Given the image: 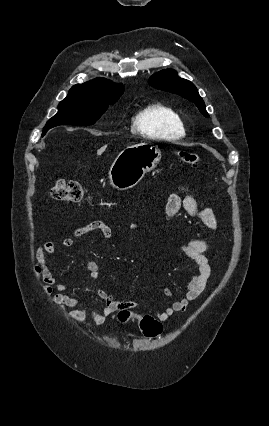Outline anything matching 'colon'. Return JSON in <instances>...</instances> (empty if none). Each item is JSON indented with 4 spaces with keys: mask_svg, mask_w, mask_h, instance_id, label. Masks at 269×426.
Segmentation results:
<instances>
[{
    "mask_svg": "<svg viewBox=\"0 0 269 426\" xmlns=\"http://www.w3.org/2000/svg\"><path fill=\"white\" fill-rule=\"evenodd\" d=\"M181 163L189 166H196L199 157L196 153L190 151H180L178 153ZM51 197L59 202L77 203L83 200L84 190L81 184L76 180H58L51 188ZM130 313L126 309H122L119 313V319L125 321L129 318ZM140 327L143 333L148 337H156L162 331V324L159 320L150 315H144L140 320Z\"/></svg>",
    "mask_w": 269,
    "mask_h": 426,
    "instance_id": "obj_1",
    "label": "colon"
}]
</instances>
